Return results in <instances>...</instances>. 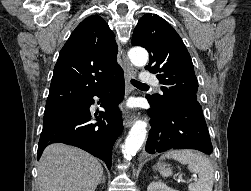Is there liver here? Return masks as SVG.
<instances>
[{"label":"liver","mask_w":251,"mask_h":191,"mask_svg":"<svg viewBox=\"0 0 251 191\" xmlns=\"http://www.w3.org/2000/svg\"><path fill=\"white\" fill-rule=\"evenodd\" d=\"M102 175L97 157L73 145L51 143L39 159L40 191H94Z\"/></svg>","instance_id":"obj_1"}]
</instances>
